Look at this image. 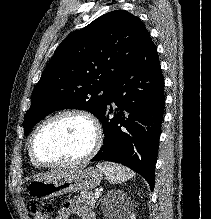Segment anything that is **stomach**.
<instances>
[{
  "label": "stomach",
  "mask_w": 211,
  "mask_h": 219,
  "mask_svg": "<svg viewBox=\"0 0 211 219\" xmlns=\"http://www.w3.org/2000/svg\"><path fill=\"white\" fill-rule=\"evenodd\" d=\"M102 179L101 171L96 168H75L62 176L32 181L28 185V193L35 198L48 199L69 192L88 191L98 186Z\"/></svg>",
  "instance_id": "obj_1"
}]
</instances>
